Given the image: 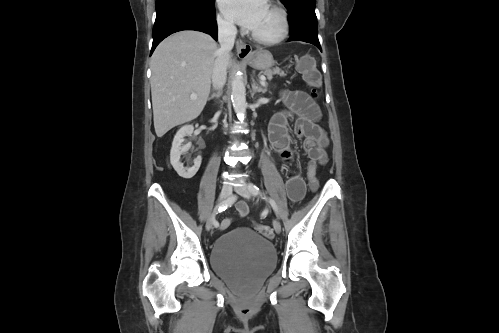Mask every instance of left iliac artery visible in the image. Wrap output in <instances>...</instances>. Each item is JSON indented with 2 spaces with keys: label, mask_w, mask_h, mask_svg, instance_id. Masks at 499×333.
I'll use <instances>...</instances> for the list:
<instances>
[{
  "label": "left iliac artery",
  "mask_w": 499,
  "mask_h": 333,
  "mask_svg": "<svg viewBox=\"0 0 499 333\" xmlns=\"http://www.w3.org/2000/svg\"><path fill=\"white\" fill-rule=\"evenodd\" d=\"M249 190H250V192H251L253 195H255V196L259 195V196L263 197V199H266V200L270 203V205H271V207L273 208V210L275 211V213L277 214V212H278V208H277V204H276V202H275L273 199L266 197V196H265V195L261 192V190L259 189V187H258V186L254 185V184H250V185H249Z\"/></svg>",
  "instance_id": "obj_1"
}]
</instances>
